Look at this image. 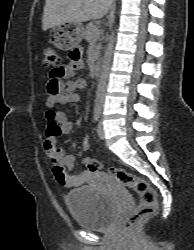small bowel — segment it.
<instances>
[{
    "mask_svg": "<svg viewBox=\"0 0 194 250\" xmlns=\"http://www.w3.org/2000/svg\"><path fill=\"white\" fill-rule=\"evenodd\" d=\"M83 67V61H73L58 70H55L47 83L48 97L46 99V128L43 148L52 166V172L59 184L65 187H77L86 182L91 173L87 170L78 175L71 171L75 165V157L65 148L56 144L59 135L68 134L73 128V122L63 111L54 110L57 104L76 102L79 99L77 90L84 89L87 85L84 79L67 80L72 74ZM60 73L58 75L57 73Z\"/></svg>",
    "mask_w": 194,
    "mask_h": 250,
    "instance_id": "small-bowel-1",
    "label": "small bowel"
}]
</instances>
